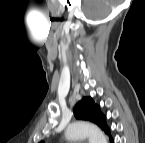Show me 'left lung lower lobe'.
<instances>
[{"instance_id":"left-lung-lower-lobe-1","label":"left lung lower lobe","mask_w":145,"mask_h":143,"mask_svg":"<svg viewBox=\"0 0 145 143\" xmlns=\"http://www.w3.org/2000/svg\"><path fill=\"white\" fill-rule=\"evenodd\" d=\"M110 141H111V143H113V139L110 137Z\"/></svg>"}]
</instances>
